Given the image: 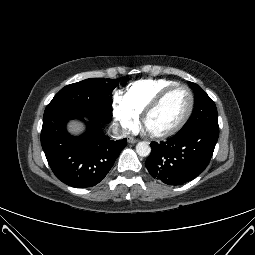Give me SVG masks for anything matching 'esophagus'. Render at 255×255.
Returning a JSON list of instances; mask_svg holds the SVG:
<instances>
[{
	"instance_id": "1",
	"label": "esophagus",
	"mask_w": 255,
	"mask_h": 255,
	"mask_svg": "<svg viewBox=\"0 0 255 255\" xmlns=\"http://www.w3.org/2000/svg\"><path fill=\"white\" fill-rule=\"evenodd\" d=\"M127 140H128V142L131 143V144H134V143L138 142V140L135 139V138H133V137H128Z\"/></svg>"
}]
</instances>
